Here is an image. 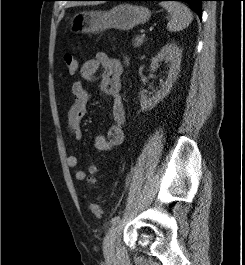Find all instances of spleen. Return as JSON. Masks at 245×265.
Instances as JSON below:
<instances>
[{"label": "spleen", "instance_id": "obj_1", "mask_svg": "<svg viewBox=\"0 0 245 265\" xmlns=\"http://www.w3.org/2000/svg\"><path fill=\"white\" fill-rule=\"evenodd\" d=\"M160 5L171 15V19L167 24V29L169 31L183 30L188 27L193 20L190 9L180 2H161Z\"/></svg>", "mask_w": 245, "mask_h": 265}]
</instances>
